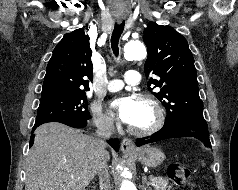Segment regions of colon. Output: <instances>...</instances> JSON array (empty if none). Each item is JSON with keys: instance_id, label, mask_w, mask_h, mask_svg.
<instances>
[{"instance_id": "1", "label": "colon", "mask_w": 238, "mask_h": 190, "mask_svg": "<svg viewBox=\"0 0 238 190\" xmlns=\"http://www.w3.org/2000/svg\"><path fill=\"white\" fill-rule=\"evenodd\" d=\"M168 175L175 184L189 186L193 189L191 170L182 163H172L168 167Z\"/></svg>"}]
</instances>
